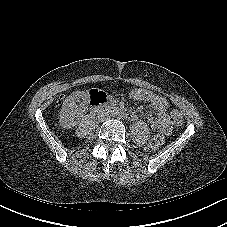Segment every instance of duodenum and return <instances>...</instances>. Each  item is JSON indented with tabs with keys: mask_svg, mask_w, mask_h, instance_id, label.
Returning <instances> with one entry per match:
<instances>
[{
	"mask_svg": "<svg viewBox=\"0 0 227 227\" xmlns=\"http://www.w3.org/2000/svg\"><path fill=\"white\" fill-rule=\"evenodd\" d=\"M90 103H91L92 107H94V108L100 107L107 103L114 105V102L110 101L105 95L91 99ZM121 114H122V116H124L125 118L130 119V120H134L136 118V116L134 114L125 112L123 110L121 111Z\"/></svg>",
	"mask_w": 227,
	"mask_h": 227,
	"instance_id": "duodenum-1",
	"label": "duodenum"
}]
</instances>
